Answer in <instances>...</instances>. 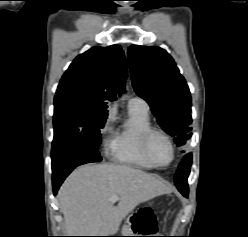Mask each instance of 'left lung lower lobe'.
<instances>
[{
    "mask_svg": "<svg viewBox=\"0 0 248 237\" xmlns=\"http://www.w3.org/2000/svg\"><path fill=\"white\" fill-rule=\"evenodd\" d=\"M191 162H192V155L191 154L186 155L184 157V159L182 160V162L180 163L179 169L176 172V174L189 173L190 167H191ZM175 184H176L178 190L182 193V195L185 197H188L189 189H188L187 181L179 182L175 179Z\"/></svg>",
    "mask_w": 248,
    "mask_h": 237,
    "instance_id": "1",
    "label": "left lung lower lobe"
}]
</instances>
